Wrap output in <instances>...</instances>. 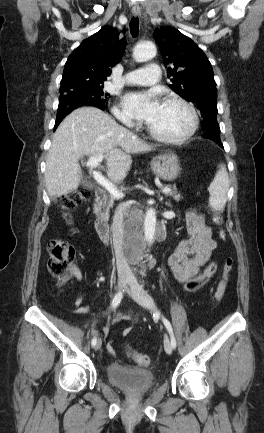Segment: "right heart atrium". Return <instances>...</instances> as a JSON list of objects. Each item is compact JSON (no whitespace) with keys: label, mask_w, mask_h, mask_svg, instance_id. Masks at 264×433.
<instances>
[{"label":"right heart atrium","mask_w":264,"mask_h":433,"mask_svg":"<svg viewBox=\"0 0 264 433\" xmlns=\"http://www.w3.org/2000/svg\"><path fill=\"white\" fill-rule=\"evenodd\" d=\"M113 113H114V116L117 118V120H119L123 124L134 125L133 117L131 116V114L127 110L120 108L118 106H115L113 108Z\"/></svg>","instance_id":"right-heart-atrium-1"}]
</instances>
